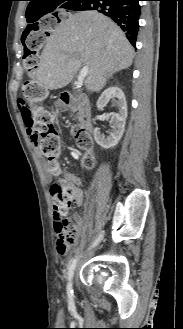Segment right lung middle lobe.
I'll use <instances>...</instances> for the list:
<instances>
[{"label":"right lung middle lobe","mask_w":183,"mask_h":329,"mask_svg":"<svg viewBox=\"0 0 183 329\" xmlns=\"http://www.w3.org/2000/svg\"><path fill=\"white\" fill-rule=\"evenodd\" d=\"M75 0H70V1H59V2H55L54 5H51L49 8H47L45 10V14L47 13H53V15H56L57 12L59 11V9L61 8H64V9H67V6H69L71 3H73ZM44 14V15H45ZM42 17V16H41ZM39 19V18H37ZM29 22V21H28ZM31 23V22H29ZM37 24V23H36ZM36 24H33V25H36ZM30 31V29H26L25 30V33L27 34L28 32ZM25 37H23L22 40H24Z\"/></svg>","instance_id":"right-lung-middle-lobe-1"}]
</instances>
